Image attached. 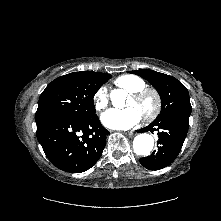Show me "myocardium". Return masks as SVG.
<instances>
[{
	"label": "myocardium",
	"mask_w": 221,
	"mask_h": 221,
	"mask_svg": "<svg viewBox=\"0 0 221 221\" xmlns=\"http://www.w3.org/2000/svg\"><path fill=\"white\" fill-rule=\"evenodd\" d=\"M147 96L152 97L153 107L149 112L143 115V118L145 121H152L159 115L162 108V99L159 92L153 88L144 87L131 93V97L136 102L142 101Z\"/></svg>",
	"instance_id": "myocardium-1"
}]
</instances>
